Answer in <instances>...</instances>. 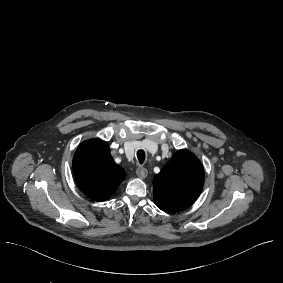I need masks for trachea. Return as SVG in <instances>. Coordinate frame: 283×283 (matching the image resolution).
Wrapping results in <instances>:
<instances>
[{"label":"trachea","mask_w":283,"mask_h":283,"mask_svg":"<svg viewBox=\"0 0 283 283\" xmlns=\"http://www.w3.org/2000/svg\"><path fill=\"white\" fill-rule=\"evenodd\" d=\"M145 156H146V154H145L144 150H138L137 151V159H138L140 164H142L144 162Z\"/></svg>","instance_id":"1"}]
</instances>
